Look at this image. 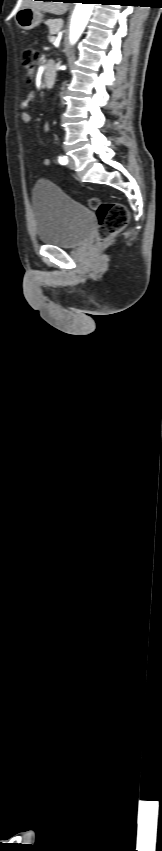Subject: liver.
<instances>
[{
	"instance_id": "obj_1",
	"label": "liver",
	"mask_w": 162,
	"mask_h": 851,
	"mask_svg": "<svg viewBox=\"0 0 162 851\" xmlns=\"http://www.w3.org/2000/svg\"><path fill=\"white\" fill-rule=\"evenodd\" d=\"M68 6V3L53 1L20 0L18 3L19 9L30 7L38 11H45L55 15H63L67 11Z\"/></svg>"
}]
</instances>
